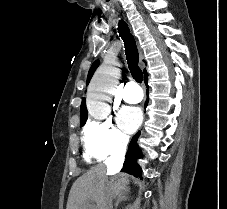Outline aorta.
Here are the masks:
<instances>
[{"mask_svg": "<svg viewBox=\"0 0 227 209\" xmlns=\"http://www.w3.org/2000/svg\"><path fill=\"white\" fill-rule=\"evenodd\" d=\"M115 59H106L94 74L87 94L89 114L97 119L108 115L111 95L114 94L120 70Z\"/></svg>", "mask_w": 227, "mask_h": 209, "instance_id": "762f6f07", "label": "aorta"}]
</instances>
